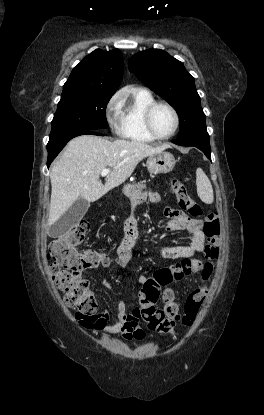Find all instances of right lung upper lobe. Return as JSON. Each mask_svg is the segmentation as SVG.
<instances>
[{
    "mask_svg": "<svg viewBox=\"0 0 264 415\" xmlns=\"http://www.w3.org/2000/svg\"><path fill=\"white\" fill-rule=\"evenodd\" d=\"M123 75V56L119 49H97L72 70L62 96L114 94Z\"/></svg>",
    "mask_w": 264,
    "mask_h": 415,
    "instance_id": "cb5924a9",
    "label": "right lung upper lobe"
}]
</instances>
